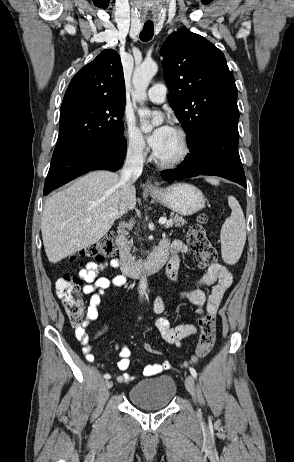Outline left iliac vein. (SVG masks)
I'll list each match as a JSON object with an SVG mask.
<instances>
[{"instance_id": "left-iliac-vein-1", "label": "left iliac vein", "mask_w": 294, "mask_h": 462, "mask_svg": "<svg viewBox=\"0 0 294 462\" xmlns=\"http://www.w3.org/2000/svg\"><path fill=\"white\" fill-rule=\"evenodd\" d=\"M185 386H186V389L188 390V392L195 399L196 389H195L194 379H193L192 376H190V375L186 376V378H185Z\"/></svg>"}]
</instances>
